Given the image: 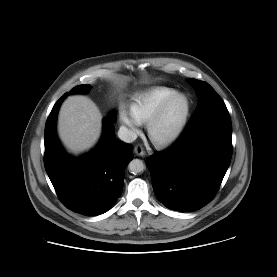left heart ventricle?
<instances>
[{"mask_svg":"<svg viewBox=\"0 0 277 277\" xmlns=\"http://www.w3.org/2000/svg\"><path fill=\"white\" fill-rule=\"evenodd\" d=\"M186 108V101L182 97L176 98L166 109L161 120L155 128L158 137H164L172 133L181 121Z\"/></svg>","mask_w":277,"mask_h":277,"instance_id":"1","label":"left heart ventricle"}]
</instances>
